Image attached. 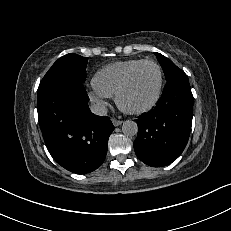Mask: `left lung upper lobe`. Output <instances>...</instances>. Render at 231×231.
Masks as SVG:
<instances>
[{"label":"left lung upper lobe","instance_id":"obj_1","mask_svg":"<svg viewBox=\"0 0 231 231\" xmlns=\"http://www.w3.org/2000/svg\"><path fill=\"white\" fill-rule=\"evenodd\" d=\"M154 54L156 55L160 65L162 66L166 80L169 79L171 76H173L177 73H180L182 71L171 60H169L168 58H166L162 54L156 53V52Z\"/></svg>","mask_w":231,"mask_h":231}]
</instances>
